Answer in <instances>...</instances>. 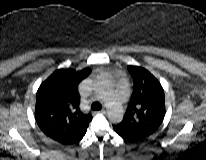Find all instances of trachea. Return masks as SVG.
Wrapping results in <instances>:
<instances>
[{
    "label": "trachea",
    "mask_w": 206,
    "mask_h": 160,
    "mask_svg": "<svg viewBox=\"0 0 206 160\" xmlns=\"http://www.w3.org/2000/svg\"><path fill=\"white\" fill-rule=\"evenodd\" d=\"M91 108L93 110H100L102 107H101V104L99 102H94L91 106Z\"/></svg>",
    "instance_id": "3493384b"
}]
</instances>
